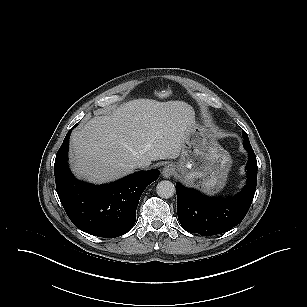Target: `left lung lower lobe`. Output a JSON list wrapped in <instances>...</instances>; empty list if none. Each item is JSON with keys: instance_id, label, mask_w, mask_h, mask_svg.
<instances>
[{"instance_id": "1", "label": "left lung lower lobe", "mask_w": 307, "mask_h": 307, "mask_svg": "<svg viewBox=\"0 0 307 307\" xmlns=\"http://www.w3.org/2000/svg\"><path fill=\"white\" fill-rule=\"evenodd\" d=\"M245 149L249 153L246 165L248 179L236 196L208 197L181 184L176 185L178 218L186 231L210 236L225 233L241 223L252 203L257 182L255 153L252 147Z\"/></svg>"}]
</instances>
